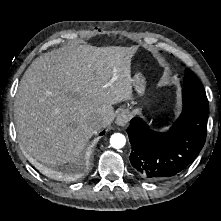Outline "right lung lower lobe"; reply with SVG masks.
<instances>
[{"instance_id": "1", "label": "right lung lower lobe", "mask_w": 221, "mask_h": 221, "mask_svg": "<svg viewBox=\"0 0 221 221\" xmlns=\"http://www.w3.org/2000/svg\"><path fill=\"white\" fill-rule=\"evenodd\" d=\"M105 132L103 131L101 134H104ZM100 134V135H101ZM59 176H61L63 179H67V178H70V175L69 174H59Z\"/></svg>"}]
</instances>
